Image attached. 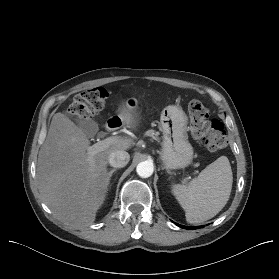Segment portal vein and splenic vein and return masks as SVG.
<instances>
[{
  "label": "portal vein and splenic vein",
  "instance_id": "18ae733b",
  "mask_svg": "<svg viewBox=\"0 0 279 279\" xmlns=\"http://www.w3.org/2000/svg\"><path fill=\"white\" fill-rule=\"evenodd\" d=\"M122 139L118 138V137H108L104 140L98 141L97 143H95L94 145L90 146L87 149V152L90 156H93L94 154H96L99 151L104 150L105 148H108L109 146L120 142Z\"/></svg>",
  "mask_w": 279,
  "mask_h": 279
}]
</instances>
